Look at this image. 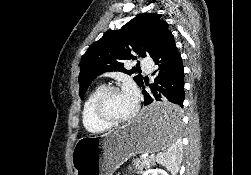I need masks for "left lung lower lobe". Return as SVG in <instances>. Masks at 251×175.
Instances as JSON below:
<instances>
[{"mask_svg":"<svg viewBox=\"0 0 251 175\" xmlns=\"http://www.w3.org/2000/svg\"><path fill=\"white\" fill-rule=\"evenodd\" d=\"M158 65L151 91L143 90L144 105L164 102L155 106L142 115V121L148 125H174L183 118L184 101V69L182 58L175 45L174 37L170 32L160 50L152 56ZM144 88V86H143Z\"/></svg>","mask_w":251,"mask_h":175,"instance_id":"0a47b994","label":"left lung lower lobe"}]
</instances>
